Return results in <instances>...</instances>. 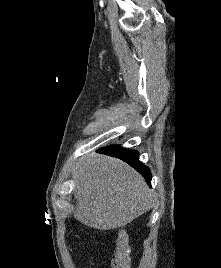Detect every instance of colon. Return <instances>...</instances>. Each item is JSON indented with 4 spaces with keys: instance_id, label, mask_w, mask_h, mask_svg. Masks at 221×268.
<instances>
[{
    "instance_id": "5ec220e1",
    "label": "colon",
    "mask_w": 221,
    "mask_h": 268,
    "mask_svg": "<svg viewBox=\"0 0 221 268\" xmlns=\"http://www.w3.org/2000/svg\"><path fill=\"white\" fill-rule=\"evenodd\" d=\"M110 268H129L128 236L126 231L123 229L118 231L117 242L112 256Z\"/></svg>"
}]
</instances>
